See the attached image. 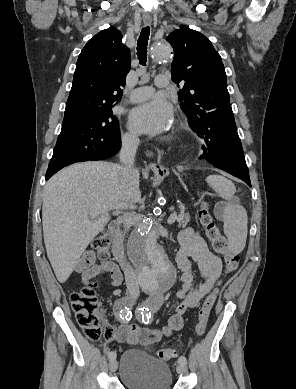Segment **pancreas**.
<instances>
[{
	"mask_svg": "<svg viewBox=\"0 0 296 389\" xmlns=\"http://www.w3.org/2000/svg\"><path fill=\"white\" fill-rule=\"evenodd\" d=\"M176 221L178 222V227L184 228L190 222V215L181 211L178 214Z\"/></svg>",
	"mask_w": 296,
	"mask_h": 389,
	"instance_id": "pancreas-1",
	"label": "pancreas"
}]
</instances>
